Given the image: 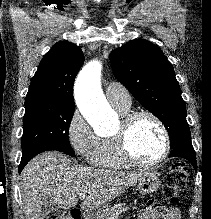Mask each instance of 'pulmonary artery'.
Returning a JSON list of instances; mask_svg holds the SVG:
<instances>
[{
    "label": "pulmonary artery",
    "mask_w": 211,
    "mask_h": 219,
    "mask_svg": "<svg viewBox=\"0 0 211 219\" xmlns=\"http://www.w3.org/2000/svg\"><path fill=\"white\" fill-rule=\"evenodd\" d=\"M109 103L115 107L127 108L131 106L132 99L127 89L117 82L109 83L105 88Z\"/></svg>",
    "instance_id": "e3ab8cb5"
}]
</instances>
